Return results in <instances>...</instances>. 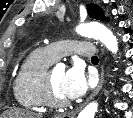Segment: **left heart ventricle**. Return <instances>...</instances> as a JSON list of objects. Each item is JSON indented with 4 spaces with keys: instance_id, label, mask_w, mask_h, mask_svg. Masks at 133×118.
<instances>
[{
    "instance_id": "left-heart-ventricle-1",
    "label": "left heart ventricle",
    "mask_w": 133,
    "mask_h": 118,
    "mask_svg": "<svg viewBox=\"0 0 133 118\" xmlns=\"http://www.w3.org/2000/svg\"><path fill=\"white\" fill-rule=\"evenodd\" d=\"M63 76H64L63 70L53 69L50 71L53 94L59 99H67L63 95L62 90H61Z\"/></svg>"
}]
</instances>
